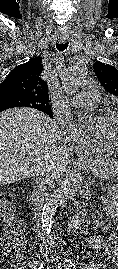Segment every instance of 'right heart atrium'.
<instances>
[{"label": "right heart atrium", "instance_id": "d8ad5b80", "mask_svg": "<svg viewBox=\"0 0 118 269\" xmlns=\"http://www.w3.org/2000/svg\"><path fill=\"white\" fill-rule=\"evenodd\" d=\"M64 140L75 148H83L91 145L94 139L79 130L65 116L58 115Z\"/></svg>", "mask_w": 118, "mask_h": 269}]
</instances>
